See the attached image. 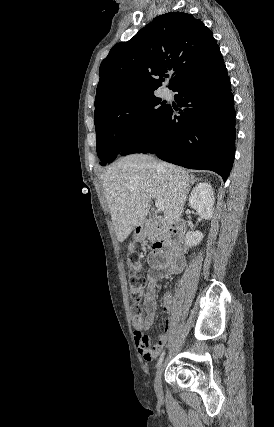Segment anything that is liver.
<instances>
[{
	"instance_id": "6515ba94",
	"label": "liver",
	"mask_w": 274,
	"mask_h": 427,
	"mask_svg": "<svg viewBox=\"0 0 274 427\" xmlns=\"http://www.w3.org/2000/svg\"><path fill=\"white\" fill-rule=\"evenodd\" d=\"M152 156L133 154L114 162L101 174L102 188L118 241L142 225L149 214L151 200H162L164 219L176 223L183 212L194 176L183 168Z\"/></svg>"
}]
</instances>
